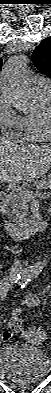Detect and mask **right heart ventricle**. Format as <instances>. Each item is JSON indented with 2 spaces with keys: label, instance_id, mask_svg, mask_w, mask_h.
Masks as SVG:
<instances>
[{
  "label": "right heart ventricle",
  "instance_id": "right-heart-ventricle-1",
  "mask_svg": "<svg viewBox=\"0 0 51 393\" xmlns=\"http://www.w3.org/2000/svg\"><path fill=\"white\" fill-rule=\"evenodd\" d=\"M39 108L33 113L22 117L21 136L23 140L31 142H45L48 140L50 131L43 123L42 111L51 101V90L36 89Z\"/></svg>",
  "mask_w": 51,
  "mask_h": 393
}]
</instances>
